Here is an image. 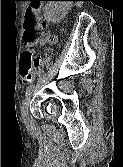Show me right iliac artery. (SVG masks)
<instances>
[{
	"instance_id": "82829eb1",
	"label": "right iliac artery",
	"mask_w": 123,
	"mask_h": 167,
	"mask_svg": "<svg viewBox=\"0 0 123 167\" xmlns=\"http://www.w3.org/2000/svg\"><path fill=\"white\" fill-rule=\"evenodd\" d=\"M33 88H34L33 84H31L27 87L26 96H28L30 93H32Z\"/></svg>"
}]
</instances>
